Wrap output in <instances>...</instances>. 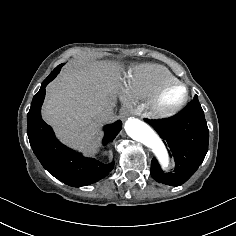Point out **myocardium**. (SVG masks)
<instances>
[{
  "mask_svg": "<svg viewBox=\"0 0 236 236\" xmlns=\"http://www.w3.org/2000/svg\"><path fill=\"white\" fill-rule=\"evenodd\" d=\"M181 88L183 94L180 99L172 105H166L164 98L171 90ZM190 98L189 88L180 81H173L162 85L149 102V109L155 119L165 120L174 117L187 105Z\"/></svg>",
  "mask_w": 236,
  "mask_h": 236,
  "instance_id": "myocardium-1",
  "label": "myocardium"
}]
</instances>
